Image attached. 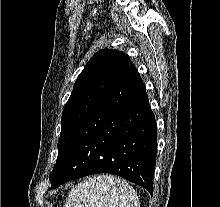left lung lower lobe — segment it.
<instances>
[{"mask_svg":"<svg viewBox=\"0 0 220 207\" xmlns=\"http://www.w3.org/2000/svg\"><path fill=\"white\" fill-rule=\"evenodd\" d=\"M157 127L143 81L130 64L78 128L50 173L52 188L111 173L153 194Z\"/></svg>","mask_w":220,"mask_h":207,"instance_id":"obj_1","label":"left lung lower lobe"}]
</instances>
